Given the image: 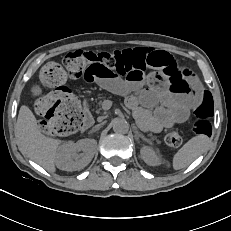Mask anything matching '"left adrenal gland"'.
<instances>
[{"instance_id":"left-adrenal-gland-1","label":"left adrenal gland","mask_w":231,"mask_h":231,"mask_svg":"<svg viewBox=\"0 0 231 231\" xmlns=\"http://www.w3.org/2000/svg\"><path fill=\"white\" fill-rule=\"evenodd\" d=\"M134 133L136 141H139V138H141L142 140L149 142V140L142 133H140L136 127L134 128Z\"/></svg>"}]
</instances>
